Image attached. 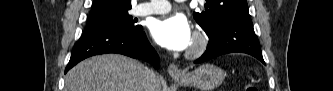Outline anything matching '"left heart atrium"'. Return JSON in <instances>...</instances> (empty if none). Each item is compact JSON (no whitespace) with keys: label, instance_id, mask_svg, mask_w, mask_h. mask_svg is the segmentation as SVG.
<instances>
[{"label":"left heart atrium","instance_id":"39dd6f15","mask_svg":"<svg viewBox=\"0 0 333 91\" xmlns=\"http://www.w3.org/2000/svg\"><path fill=\"white\" fill-rule=\"evenodd\" d=\"M150 31L158 44L173 51L188 49L193 39L188 20L180 14L156 19L152 23Z\"/></svg>","mask_w":333,"mask_h":91}]
</instances>
